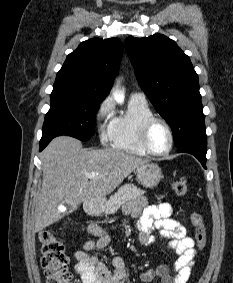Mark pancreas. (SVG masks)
I'll return each mask as SVG.
<instances>
[{
	"mask_svg": "<svg viewBox=\"0 0 233 283\" xmlns=\"http://www.w3.org/2000/svg\"><path fill=\"white\" fill-rule=\"evenodd\" d=\"M144 194L145 191L137 188L134 184H125L114 195L110 196L105 212L106 214H114L124 203Z\"/></svg>",
	"mask_w": 233,
	"mask_h": 283,
	"instance_id": "obj_1",
	"label": "pancreas"
}]
</instances>
